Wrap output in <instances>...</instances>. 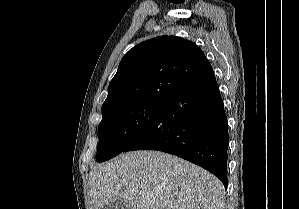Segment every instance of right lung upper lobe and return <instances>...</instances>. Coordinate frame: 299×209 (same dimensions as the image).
Returning <instances> with one entry per match:
<instances>
[{"instance_id":"1","label":"right lung upper lobe","mask_w":299,"mask_h":209,"mask_svg":"<svg viewBox=\"0 0 299 209\" xmlns=\"http://www.w3.org/2000/svg\"><path fill=\"white\" fill-rule=\"evenodd\" d=\"M211 70L204 53L189 40L161 36L144 41L122 58L102 112L136 102H165L187 80Z\"/></svg>"}]
</instances>
